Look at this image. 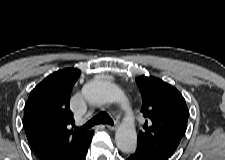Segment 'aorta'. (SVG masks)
Masks as SVG:
<instances>
[{
  "instance_id": "obj_1",
  "label": "aorta",
  "mask_w": 225,
  "mask_h": 160,
  "mask_svg": "<svg viewBox=\"0 0 225 160\" xmlns=\"http://www.w3.org/2000/svg\"><path fill=\"white\" fill-rule=\"evenodd\" d=\"M82 93L85 99L93 105L122 102L124 99L122 91L115 84L101 80L86 84ZM115 141L122 152H134L137 147V133L134 125L123 123L116 131Z\"/></svg>"
}]
</instances>
